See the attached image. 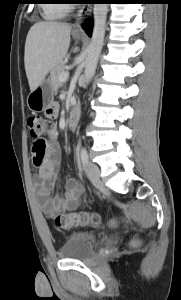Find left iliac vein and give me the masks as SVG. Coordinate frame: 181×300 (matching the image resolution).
<instances>
[{
	"label": "left iliac vein",
	"instance_id": "obj_1",
	"mask_svg": "<svg viewBox=\"0 0 181 300\" xmlns=\"http://www.w3.org/2000/svg\"><path fill=\"white\" fill-rule=\"evenodd\" d=\"M85 172L88 177V179L95 185L100 186L101 180H100V169L99 167L92 163L88 162L85 166Z\"/></svg>",
	"mask_w": 181,
	"mask_h": 300
}]
</instances>
